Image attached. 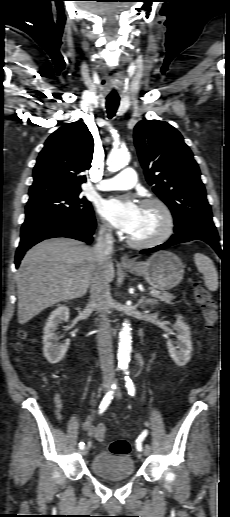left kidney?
Listing matches in <instances>:
<instances>
[{
	"label": "left kidney",
	"mask_w": 230,
	"mask_h": 517,
	"mask_svg": "<svg viewBox=\"0 0 230 517\" xmlns=\"http://www.w3.org/2000/svg\"><path fill=\"white\" fill-rule=\"evenodd\" d=\"M176 317L177 321L173 329L177 332V341L169 340L167 342V348L172 360L178 366H184L191 359V333L189 326L183 321V317L181 315H176Z\"/></svg>",
	"instance_id": "5707ae66"
}]
</instances>
